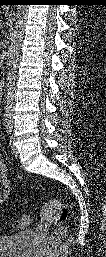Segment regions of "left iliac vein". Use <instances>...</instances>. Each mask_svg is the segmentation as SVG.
I'll return each mask as SVG.
<instances>
[{
	"label": "left iliac vein",
	"mask_w": 106,
	"mask_h": 257,
	"mask_svg": "<svg viewBox=\"0 0 106 257\" xmlns=\"http://www.w3.org/2000/svg\"><path fill=\"white\" fill-rule=\"evenodd\" d=\"M9 145H10L12 154H14V155L17 154V150H16V147H15V145H14L13 136L10 137V143H9Z\"/></svg>",
	"instance_id": "obj_1"
}]
</instances>
